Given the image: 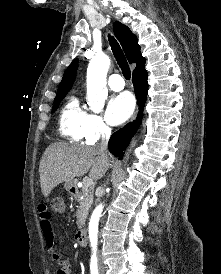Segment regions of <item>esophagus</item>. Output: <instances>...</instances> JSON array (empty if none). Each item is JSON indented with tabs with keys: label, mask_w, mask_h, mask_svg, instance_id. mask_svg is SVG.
<instances>
[{
	"label": "esophagus",
	"mask_w": 221,
	"mask_h": 274,
	"mask_svg": "<svg viewBox=\"0 0 221 274\" xmlns=\"http://www.w3.org/2000/svg\"><path fill=\"white\" fill-rule=\"evenodd\" d=\"M136 114H137V112L133 115V117L131 118V121L135 120Z\"/></svg>",
	"instance_id": "esophagus-1"
}]
</instances>
